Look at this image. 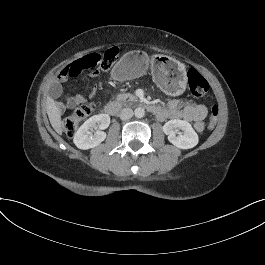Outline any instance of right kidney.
Returning a JSON list of instances; mask_svg holds the SVG:
<instances>
[{
	"instance_id": "1",
	"label": "right kidney",
	"mask_w": 265,
	"mask_h": 265,
	"mask_svg": "<svg viewBox=\"0 0 265 265\" xmlns=\"http://www.w3.org/2000/svg\"><path fill=\"white\" fill-rule=\"evenodd\" d=\"M107 114L90 117L74 134L73 143L80 150H90L100 145L107 138V133L101 131L110 125Z\"/></svg>"
}]
</instances>
